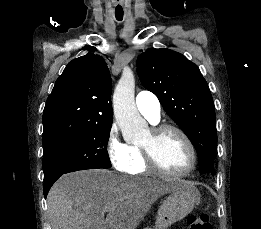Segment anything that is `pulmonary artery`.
Returning a JSON list of instances; mask_svg holds the SVG:
<instances>
[{
	"label": "pulmonary artery",
	"instance_id": "obj_1",
	"mask_svg": "<svg viewBox=\"0 0 261 229\" xmlns=\"http://www.w3.org/2000/svg\"><path fill=\"white\" fill-rule=\"evenodd\" d=\"M136 106L138 111L152 124L160 120L161 104L155 94L149 91H141L136 95Z\"/></svg>",
	"mask_w": 261,
	"mask_h": 229
}]
</instances>
